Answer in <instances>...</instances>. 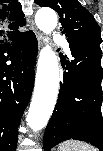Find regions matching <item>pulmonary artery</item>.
I'll return each instance as SVG.
<instances>
[{
	"mask_svg": "<svg viewBox=\"0 0 103 151\" xmlns=\"http://www.w3.org/2000/svg\"><path fill=\"white\" fill-rule=\"evenodd\" d=\"M53 39L56 43L60 44L63 47L65 52L70 53L69 43L67 42V40L64 37L56 34V35H54Z\"/></svg>",
	"mask_w": 103,
	"mask_h": 151,
	"instance_id": "1",
	"label": "pulmonary artery"
}]
</instances>
